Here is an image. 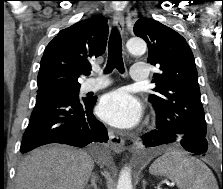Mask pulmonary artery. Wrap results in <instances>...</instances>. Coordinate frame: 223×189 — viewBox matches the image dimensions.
Masks as SVG:
<instances>
[{
  "mask_svg": "<svg viewBox=\"0 0 223 189\" xmlns=\"http://www.w3.org/2000/svg\"><path fill=\"white\" fill-rule=\"evenodd\" d=\"M131 80L134 82H144L148 77V70L145 64H133L131 67ZM109 85L106 77L90 79L84 84L85 91H97Z\"/></svg>",
  "mask_w": 223,
  "mask_h": 189,
  "instance_id": "pulmonary-artery-1",
  "label": "pulmonary artery"
}]
</instances>
